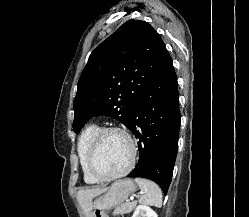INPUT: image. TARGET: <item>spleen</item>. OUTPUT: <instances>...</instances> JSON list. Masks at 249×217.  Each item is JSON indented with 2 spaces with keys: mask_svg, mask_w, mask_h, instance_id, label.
<instances>
[{
  "mask_svg": "<svg viewBox=\"0 0 249 217\" xmlns=\"http://www.w3.org/2000/svg\"><path fill=\"white\" fill-rule=\"evenodd\" d=\"M135 182L143 191V195L139 199L140 203L161 207L162 192L155 182L139 177L135 178Z\"/></svg>",
  "mask_w": 249,
  "mask_h": 217,
  "instance_id": "3e777b00",
  "label": "spleen"
}]
</instances>
